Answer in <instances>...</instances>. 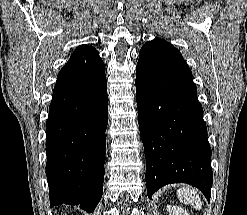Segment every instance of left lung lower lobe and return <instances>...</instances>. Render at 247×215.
<instances>
[{
    "label": "left lung lower lobe",
    "mask_w": 247,
    "mask_h": 215,
    "mask_svg": "<svg viewBox=\"0 0 247 215\" xmlns=\"http://www.w3.org/2000/svg\"><path fill=\"white\" fill-rule=\"evenodd\" d=\"M139 129L147 195L171 183L197 187L210 200L211 148L192 73L169 42L143 45L136 67Z\"/></svg>",
    "instance_id": "left-lung-lower-lobe-1"
}]
</instances>
